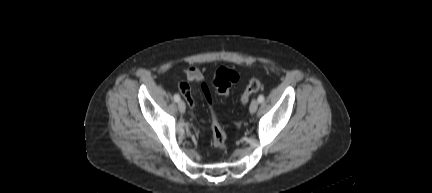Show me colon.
Returning a JSON list of instances; mask_svg holds the SVG:
<instances>
[{"label":"colon","instance_id":"colon-1","mask_svg":"<svg viewBox=\"0 0 432 193\" xmlns=\"http://www.w3.org/2000/svg\"><path fill=\"white\" fill-rule=\"evenodd\" d=\"M239 80V75L236 71L228 68H220L214 75L213 85L217 94L226 96L229 93L230 88ZM261 88V82L257 78L251 79L242 96L241 102L247 103L252 94L257 92ZM203 90L208 102L211 104V94L206 85H203ZM211 127H212V141L213 145L218 150H225L227 148V137L222 129L219 120L214 112L211 115Z\"/></svg>","mask_w":432,"mask_h":193}]
</instances>
